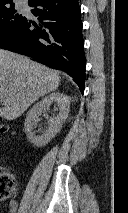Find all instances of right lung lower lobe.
I'll use <instances>...</instances> for the list:
<instances>
[{
	"instance_id": "right-lung-lower-lobe-1",
	"label": "right lung lower lobe",
	"mask_w": 128,
	"mask_h": 213,
	"mask_svg": "<svg viewBox=\"0 0 128 213\" xmlns=\"http://www.w3.org/2000/svg\"><path fill=\"white\" fill-rule=\"evenodd\" d=\"M29 6L36 7L31 12L39 23L25 19L0 42V48L68 73L83 92L86 59L78 0H34Z\"/></svg>"
}]
</instances>
